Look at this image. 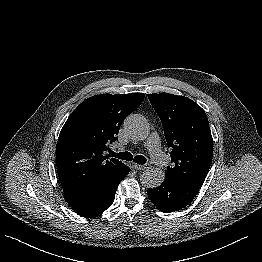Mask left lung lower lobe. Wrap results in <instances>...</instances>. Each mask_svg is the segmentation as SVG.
<instances>
[{"instance_id": "obj_1", "label": "left lung lower lobe", "mask_w": 262, "mask_h": 262, "mask_svg": "<svg viewBox=\"0 0 262 262\" xmlns=\"http://www.w3.org/2000/svg\"><path fill=\"white\" fill-rule=\"evenodd\" d=\"M199 189L165 176L157 188L148 189L152 203L162 212H173L184 208L196 196Z\"/></svg>"}]
</instances>
